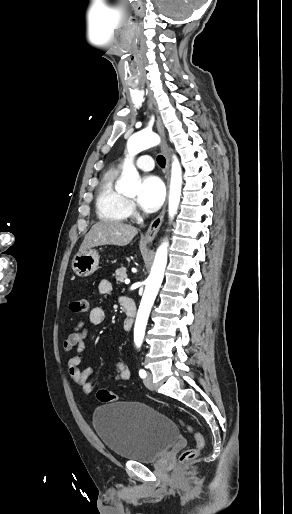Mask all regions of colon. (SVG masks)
<instances>
[{
	"label": "colon",
	"instance_id": "obj_1",
	"mask_svg": "<svg viewBox=\"0 0 292 514\" xmlns=\"http://www.w3.org/2000/svg\"><path fill=\"white\" fill-rule=\"evenodd\" d=\"M70 310L74 313H87L89 311V302L85 298L75 299L70 303ZM96 397L102 403L114 402L118 399L117 395L108 388L99 389L96 393ZM178 422L194 439V446L182 452L180 462L192 461L196 459L203 450L205 437L196 427L185 420L178 418Z\"/></svg>",
	"mask_w": 292,
	"mask_h": 514
}]
</instances>
